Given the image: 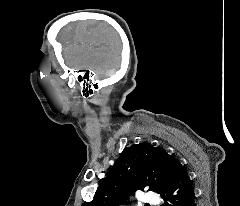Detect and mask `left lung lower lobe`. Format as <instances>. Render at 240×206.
Wrapping results in <instances>:
<instances>
[{
  "label": "left lung lower lobe",
  "instance_id": "1",
  "mask_svg": "<svg viewBox=\"0 0 240 206\" xmlns=\"http://www.w3.org/2000/svg\"><path fill=\"white\" fill-rule=\"evenodd\" d=\"M161 197L165 200L162 206H195L192 180L180 162H175L173 173Z\"/></svg>",
  "mask_w": 240,
  "mask_h": 206
}]
</instances>
